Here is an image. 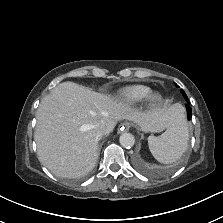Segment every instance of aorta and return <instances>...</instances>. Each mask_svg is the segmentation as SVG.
Wrapping results in <instances>:
<instances>
[{"label":"aorta","instance_id":"aorta-1","mask_svg":"<svg viewBox=\"0 0 223 223\" xmlns=\"http://www.w3.org/2000/svg\"><path fill=\"white\" fill-rule=\"evenodd\" d=\"M120 144L124 148H130L135 143V138L130 133H123L119 138Z\"/></svg>","mask_w":223,"mask_h":223}]
</instances>
